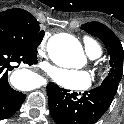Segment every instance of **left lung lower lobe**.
Masks as SVG:
<instances>
[{
  "label": "left lung lower lobe",
  "mask_w": 124,
  "mask_h": 124,
  "mask_svg": "<svg viewBox=\"0 0 124 124\" xmlns=\"http://www.w3.org/2000/svg\"><path fill=\"white\" fill-rule=\"evenodd\" d=\"M47 94L51 116L56 124H94L108 110L116 93L109 87L99 86L77 97V93H69L49 83Z\"/></svg>",
  "instance_id": "obj_1"
}]
</instances>
